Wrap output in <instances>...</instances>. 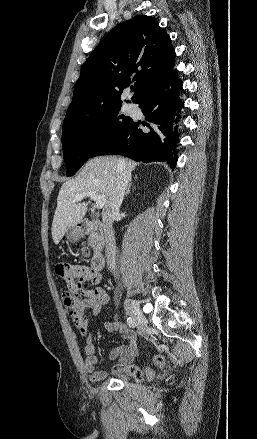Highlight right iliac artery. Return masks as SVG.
<instances>
[{
	"instance_id": "82829eb1",
	"label": "right iliac artery",
	"mask_w": 257,
	"mask_h": 439,
	"mask_svg": "<svg viewBox=\"0 0 257 439\" xmlns=\"http://www.w3.org/2000/svg\"><path fill=\"white\" fill-rule=\"evenodd\" d=\"M127 324H128L130 327L134 328V327L136 326V321H135V319H133L132 317H128V318H127Z\"/></svg>"
}]
</instances>
